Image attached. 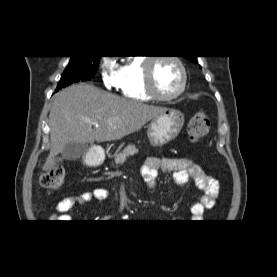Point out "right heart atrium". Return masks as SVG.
<instances>
[{"instance_id": "obj_1", "label": "right heart atrium", "mask_w": 277, "mask_h": 277, "mask_svg": "<svg viewBox=\"0 0 277 277\" xmlns=\"http://www.w3.org/2000/svg\"><path fill=\"white\" fill-rule=\"evenodd\" d=\"M101 80L103 85L111 90L119 88V72L108 58H103L100 65Z\"/></svg>"}]
</instances>
